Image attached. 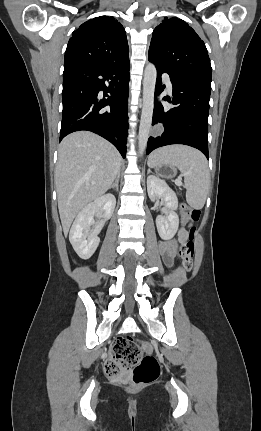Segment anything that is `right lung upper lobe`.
<instances>
[{"mask_svg": "<svg viewBox=\"0 0 261 431\" xmlns=\"http://www.w3.org/2000/svg\"><path fill=\"white\" fill-rule=\"evenodd\" d=\"M128 42L123 26L112 16L86 21L72 33L64 67L117 64L128 60Z\"/></svg>", "mask_w": 261, "mask_h": 431, "instance_id": "1", "label": "right lung upper lobe"}]
</instances>
